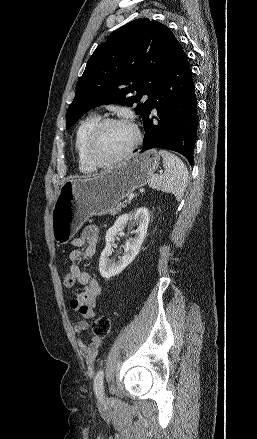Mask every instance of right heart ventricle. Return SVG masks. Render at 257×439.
<instances>
[{"label": "right heart ventricle", "mask_w": 257, "mask_h": 439, "mask_svg": "<svg viewBox=\"0 0 257 439\" xmlns=\"http://www.w3.org/2000/svg\"><path fill=\"white\" fill-rule=\"evenodd\" d=\"M100 120L99 115L91 114L79 123L75 132L74 148L77 154L78 167L84 173H92L96 168L86 156L85 141L90 131Z\"/></svg>", "instance_id": "obj_1"}]
</instances>
